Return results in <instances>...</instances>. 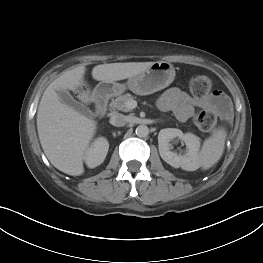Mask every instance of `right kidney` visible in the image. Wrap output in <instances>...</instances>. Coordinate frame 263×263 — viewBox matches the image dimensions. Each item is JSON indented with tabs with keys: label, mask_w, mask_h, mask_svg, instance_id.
Here are the masks:
<instances>
[{
	"label": "right kidney",
	"mask_w": 263,
	"mask_h": 263,
	"mask_svg": "<svg viewBox=\"0 0 263 263\" xmlns=\"http://www.w3.org/2000/svg\"><path fill=\"white\" fill-rule=\"evenodd\" d=\"M109 149V143L106 138L99 137L88 148L84 160L89 168H95L102 164Z\"/></svg>",
	"instance_id": "obj_1"
}]
</instances>
